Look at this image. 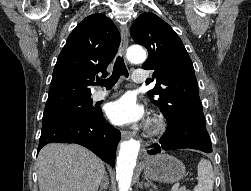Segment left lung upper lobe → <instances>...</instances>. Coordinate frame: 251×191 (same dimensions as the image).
<instances>
[{
    "mask_svg": "<svg viewBox=\"0 0 251 191\" xmlns=\"http://www.w3.org/2000/svg\"><path fill=\"white\" fill-rule=\"evenodd\" d=\"M130 33L149 52L142 68L154 71L146 84L156 79V85L148 96L164 114L167 127L186 116L205 119L194 67L176 32L157 15L143 13L133 22Z\"/></svg>",
    "mask_w": 251,
    "mask_h": 191,
    "instance_id": "1",
    "label": "left lung upper lobe"
}]
</instances>
